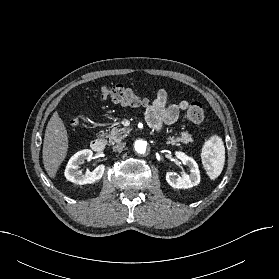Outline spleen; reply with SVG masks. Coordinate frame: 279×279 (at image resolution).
Here are the masks:
<instances>
[{
  "label": "spleen",
  "mask_w": 279,
  "mask_h": 279,
  "mask_svg": "<svg viewBox=\"0 0 279 279\" xmlns=\"http://www.w3.org/2000/svg\"><path fill=\"white\" fill-rule=\"evenodd\" d=\"M203 157L208 176L211 180H215L221 174L225 163V147L222 138L212 136L204 145Z\"/></svg>",
  "instance_id": "1"
}]
</instances>
